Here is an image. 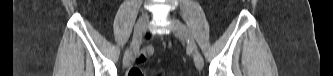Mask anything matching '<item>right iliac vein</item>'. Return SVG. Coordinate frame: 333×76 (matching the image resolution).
<instances>
[{
  "mask_svg": "<svg viewBox=\"0 0 333 76\" xmlns=\"http://www.w3.org/2000/svg\"><path fill=\"white\" fill-rule=\"evenodd\" d=\"M149 21V16L146 12L142 13L141 16L139 17L135 28H134V34H133V42L132 46L134 47L136 45V40L140 38L142 33L144 32L147 24ZM132 51L133 49L130 48L125 52L124 58H123V64L125 67H129L132 61Z\"/></svg>",
  "mask_w": 333,
  "mask_h": 76,
  "instance_id": "right-iliac-vein-1",
  "label": "right iliac vein"
}]
</instances>
